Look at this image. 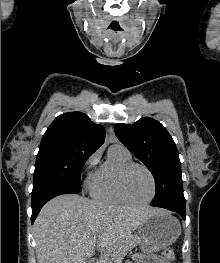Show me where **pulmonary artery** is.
<instances>
[{"instance_id":"1","label":"pulmonary artery","mask_w":220,"mask_h":263,"mask_svg":"<svg viewBox=\"0 0 220 263\" xmlns=\"http://www.w3.org/2000/svg\"><path fill=\"white\" fill-rule=\"evenodd\" d=\"M115 146L119 147L120 149H122V150H124V151H126V152H129V151L127 150V148H126L125 146L121 145V144H116Z\"/></svg>"}]
</instances>
